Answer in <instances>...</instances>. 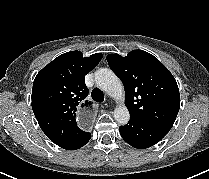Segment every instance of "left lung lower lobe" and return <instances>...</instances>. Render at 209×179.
I'll use <instances>...</instances> for the list:
<instances>
[{
	"label": "left lung lower lobe",
	"mask_w": 209,
	"mask_h": 179,
	"mask_svg": "<svg viewBox=\"0 0 209 179\" xmlns=\"http://www.w3.org/2000/svg\"><path fill=\"white\" fill-rule=\"evenodd\" d=\"M121 137L137 149H145L158 143L170 128L152 124L130 116L127 125L119 127Z\"/></svg>",
	"instance_id": "0a47b994"
}]
</instances>
